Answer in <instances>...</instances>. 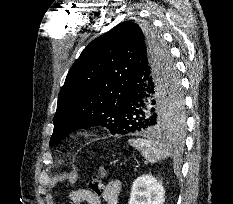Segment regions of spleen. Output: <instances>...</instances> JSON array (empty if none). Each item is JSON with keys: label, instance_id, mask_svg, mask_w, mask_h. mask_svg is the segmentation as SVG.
Here are the masks:
<instances>
[{"label": "spleen", "instance_id": "obj_1", "mask_svg": "<svg viewBox=\"0 0 233 204\" xmlns=\"http://www.w3.org/2000/svg\"><path fill=\"white\" fill-rule=\"evenodd\" d=\"M128 143L140 151L141 155L152 164L176 155V151L172 146L160 143L151 138L129 139Z\"/></svg>", "mask_w": 233, "mask_h": 204}]
</instances>
